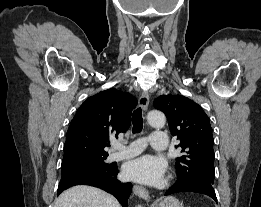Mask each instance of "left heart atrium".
<instances>
[{"mask_svg":"<svg viewBox=\"0 0 261 207\" xmlns=\"http://www.w3.org/2000/svg\"><path fill=\"white\" fill-rule=\"evenodd\" d=\"M165 170L166 163L162 158L143 155L127 162L123 168V174L132 181L157 185L162 182Z\"/></svg>","mask_w":261,"mask_h":207,"instance_id":"1","label":"left heart atrium"}]
</instances>
